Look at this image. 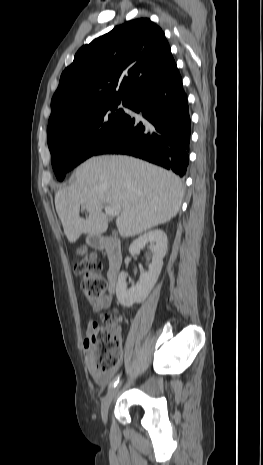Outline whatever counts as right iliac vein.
Returning <instances> with one entry per match:
<instances>
[{"instance_id": "right-iliac-vein-1", "label": "right iliac vein", "mask_w": 263, "mask_h": 465, "mask_svg": "<svg viewBox=\"0 0 263 465\" xmlns=\"http://www.w3.org/2000/svg\"><path fill=\"white\" fill-rule=\"evenodd\" d=\"M121 384H122V382L118 383V385L111 388L108 391V393L106 394V396L104 397L103 401H102L101 416H102V420H103L104 423H106V421H107L108 410H109L110 404H111L113 398L115 397L116 393L120 389Z\"/></svg>"}]
</instances>
